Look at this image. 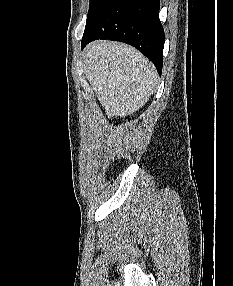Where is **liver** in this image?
Listing matches in <instances>:
<instances>
[{"label":"liver","instance_id":"liver-1","mask_svg":"<svg viewBox=\"0 0 233 286\" xmlns=\"http://www.w3.org/2000/svg\"><path fill=\"white\" fill-rule=\"evenodd\" d=\"M85 54L86 77L108 118L132 115L149 100L158 74L137 49L96 41L86 47Z\"/></svg>","mask_w":233,"mask_h":286}]
</instances>
